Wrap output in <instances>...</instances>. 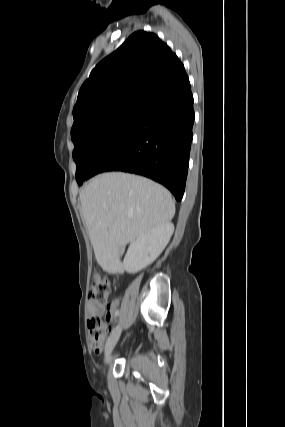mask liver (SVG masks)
I'll return each mask as SVG.
<instances>
[{
  "label": "liver",
  "instance_id": "liver-1",
  "mask_svg": "<svg viewBox=\"0 0 285 427\" xmlns=\"http://www.w3.org/2000/svg\"><path fill=\"white\" fill-rule=\"evenodd\" d=\"M81 211L97 262L120 268L123 247L175 215L171 194L141 176L109 172L94 177L80 192Z\"/></svg>",
  "mask_w": 285,
  "mask_h": 427
}]
</instances>
